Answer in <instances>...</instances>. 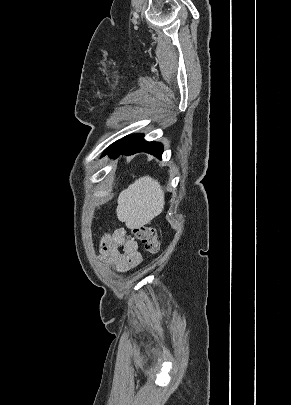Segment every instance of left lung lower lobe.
Wrapping results in <instances>:
<instances>
[{
  "label": "left lung lower lobe",
  "mask_w": 291,
  "mask_h": 405,
  "mask_svg": "<svg viewBox=\"0 0 291 405\" xmlns=\"http://www.w3.org/2000/svg\"><path fill=\"white\" fill-rule=\"evenodd\" d=\"M138 152H147L161 158L163 146L158 142L145 141L143 134H132L113 143L105 154L109 153L110 156L117 157L120 154L131 155Z\"/></svg>",
  "instance_id": "obj_1"
}]
</instances>
